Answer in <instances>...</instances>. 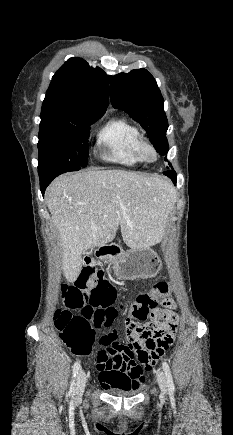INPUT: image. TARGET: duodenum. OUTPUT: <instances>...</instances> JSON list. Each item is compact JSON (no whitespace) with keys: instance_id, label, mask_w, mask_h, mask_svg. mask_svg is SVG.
<instances>
[{"instance_id":"1","label":"duodenum","mask_w":233,"mask_h":435,"mask_svg":"<svg viewBox=\"0 0 233 435\" xmlns=\"http://www.w3.org/2000/svg\"><path fill=\"white\" fill-rule=\"evenodd\" d=\"M119 254L120 248L118 246H114L109 243H103L97 247L91 255L87 256L86 263L92 266L95 260H103L104 258L113 260Z\"/></svg>"}]
</instances>
